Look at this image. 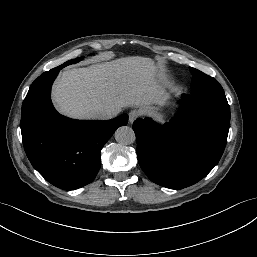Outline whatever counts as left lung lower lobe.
Wrapping results in <instances>:
<instances>
[{"label": "left lung lower lobe", "mask_w": 257, "mask_h": 257, "mask_svg": "<svg viewBox=\"0 0 257 257\" xmlns=\"http://www.w3.org/2000/svg\"><path fill=\"white\" fill-rule=\"evenodd\" d=\"M184 111L170 123L150 118L133 124L139 164L156 184L182 189L205 177L227 142L230 108L225 95H183Z\"/></svg>", "instance_id": "obj_1"}]
</instances>
